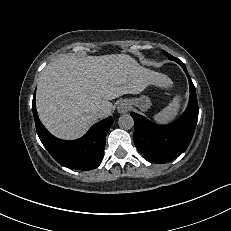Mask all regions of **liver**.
Instances as JSON below:
<instances>
[{
    "mask_svg": "<svg viewBox=\"0 0 231 231\" xmlns=\"http://www.w3.org/2000/svg\"><path fill=\"white\" fill-rule=\"evenodd\" d=\"M147 85L169 87L172 82L126 54L85 58L64 54L40 74L36 91L38 115L56 137L77 139L98 121V109H104L103 117H107L114 110L110 100L137 94Z\"/></svg>",
    "mask_w": 231,
    "mask_h": 231,
    "instance_id": "6515ba94",
    "label": "liver"
}]
</instances>
